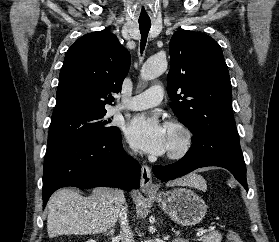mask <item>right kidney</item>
<instances>
[{
  "label": "right kidney",
  "instance_id": "ca27d5eb",
  "mask_svg": "<svg viewBox=\"0 0 279 242\" xmlns=\"http://www.w3.org/2000/svg\"><path fill=\"white\" fill-rule=\"evenodd\" d=\"M87 242H96V241L91 239V240H88Z\"/></svg>",
  "mask_w": 279,
  "mask_h": 242
}]
</instances>
